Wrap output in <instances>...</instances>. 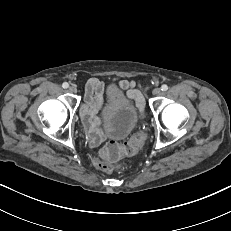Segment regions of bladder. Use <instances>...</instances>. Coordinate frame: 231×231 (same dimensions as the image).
<instances>
[{
  "instance_id": "bladder-1",
  "label": "bladder",
  "mask_w": 231,
  "mask_h": 231,
  "mask_svg": "<svg viewBox=\"0 0 231 231\" xmlns=\"http://www.w3.org/2000/svg\"><path fill=\"white\" fill-rule=\"evenodd\" d=\"M104 117L107 125V134L114 139L127 137L138 122L137 110L115 85H110L107 88Z\"/></svg>"
}]
</instances>
